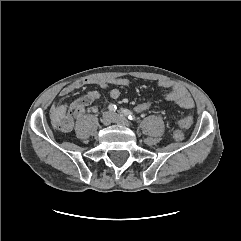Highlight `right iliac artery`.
I'll use <instances>...</instances> for the list:
<instances>
[{"mask_svg": "<svg viewBox=\"0 0 241 241\" xmlns=\"http://www.w3.org/2000/svg\"><path fill=\"white\" fill-rule=\"evenodd\" d=\"M108 109H109V111H111V112H115L116 109H117V107H116V105H114V104H110V105L108 106Z\"/></svg>", "mask_w": 241, "mask_h": 241, "instance_id": "1", "label": "right iliac artery"}]
</instances>
